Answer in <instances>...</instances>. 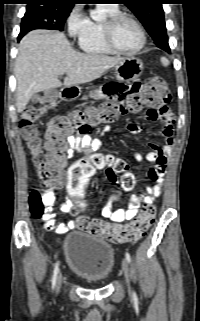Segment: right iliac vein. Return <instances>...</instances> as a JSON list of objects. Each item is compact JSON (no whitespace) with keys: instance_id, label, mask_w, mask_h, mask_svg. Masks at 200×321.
I'll list each match as a JSON object with an SVG mask.
<instances>
[{"instance_id":"obj_1","label":"right iliac vein","mask_w":200,"mask_h":321,"mask_svg":"<svg viewBox=\"0 0 200 321\" xmlns=\"http://www.w3.org/2000/svg\"><path fill=\"white\" fill-rule=\"evenodd\" d=\"M61 283H62V276L60 275L58 278V284H57V290L59 291L61 288Z\"/></svg>"}]
</instances>
